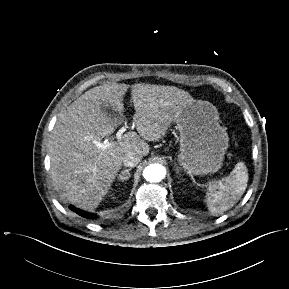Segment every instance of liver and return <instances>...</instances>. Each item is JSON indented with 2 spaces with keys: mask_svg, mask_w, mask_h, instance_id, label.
Instances as JSON below:
<instances>
[{
  "mask_svg": "<svg viewBox=\"0 0 289 289\" xmlns=\"http://www.w3.org/2000/svg\"><path fill=\"white\" fill-rule=\"evenodd\" d=\"M129 87L112 83L91 88L59 114L52 130L49 153L54 188L62 199L81 209L96 208L121 169L125 154L148 155L146 141L163 138L182 107L194 101L175 86H131L136 111L133 121L139 135L129 131L115 142L109 136L124 119L123 97ZM108 107L120 116L111 117ZM105 137L111 140V147L101 149L94 144Z\"/></svg>",
  "mask_w": 289,
  "mask_h": 289,
  "instance_id": "obj_1",
  "label": "liver"
}]
</instances>
